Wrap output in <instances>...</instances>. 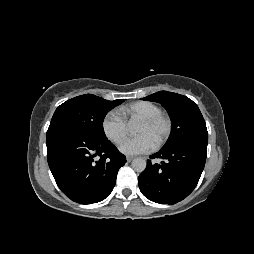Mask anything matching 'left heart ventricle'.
Listing matches in <instances>:
<instances>
[{
  "label": "left heart ventricle",
  "instance_id": "1",
  "mask_svg": "<svg viewBox=\"0 0 254 254\" xmlns=\"http://www.w3.org/2000/svg\"><path fill=\"white\" fill-rule=\"evenodd\" d=\"M164 132L165 125L162 122L151 126L140 122L136 131L138 135H147L153 140L154 143H156L163 136Z\"/></svg>",
  "mask_w": 254,
  "mask_h": 254
}]
</instances>
